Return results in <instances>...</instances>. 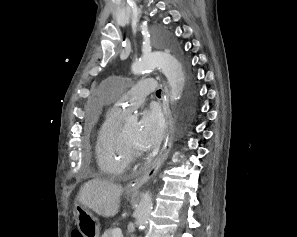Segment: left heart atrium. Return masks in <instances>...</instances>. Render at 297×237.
Returning a JSON list of instances; mask_svg holds the SVG:
<instances>
[{"label":"left heart atrium","instance_id":"39dd6f15","mask_svg":"<svg viewBox=\"0 0 297 237\" xmlns=\"http://www.w3.org/2000/svg\"><path fill=\"white\" fill-rule=\"evenodd\" d=\"M164 135V120L159 110L146 109L138 124V144L143 150L156 148Z\"/></svg>","mask_w":297,"mask_h":237}]
</instances>
